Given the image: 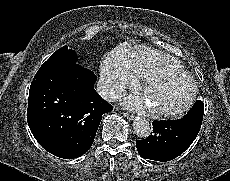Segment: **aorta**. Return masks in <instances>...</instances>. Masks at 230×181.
I'll return each mask as SVG.
<instances>
[{
  "label": "aorta",
  "instance_id": "obj_1",
  "mask_svg": "<svg viewBox=\"0 0 230 181\" xmlns=\"http://www.w3.org/2000/svg\"><path fill=\"white\" fill-rule=\"evenodd\" d=\"M133 130L139 138L146 139L152 133V126L146 119L137 118L133 122Z\"/></svg>",
  "mask_w": 230,
  "mask_h": 181
}]
</instances>
